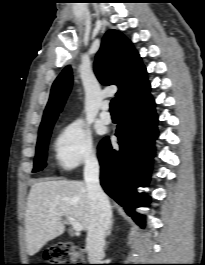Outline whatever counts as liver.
Masks as SVG:
<instances>
[{"label": "liver", "instance_id": "6515ba94", "mask_svg": "<svg viewBox=\"0 0 205 265\" xmlns=\"http://www.w3.org/2000/svg\"><path fill=\"white\" fill-rule=\"evenodd\" d=\"M63 217H72L88 230L91 212L85 182L43 180L32 185L25 213L27 253L35 255L63 234Z\"/></svg>", "mask_w": 205, "mask_h": 265}]
</instances>
